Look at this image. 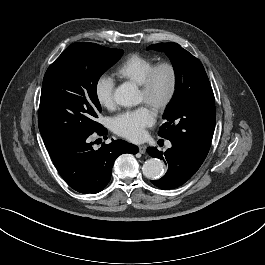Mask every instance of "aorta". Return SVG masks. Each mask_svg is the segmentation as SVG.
<instances>
[{"instance_id": "obj_1", "label": "aorta", "mask_w": 265, "mask_h": 265, "mask_svg": "<svg viewBox=\"0 0 265 265\" xmlns=\"http://www.w3.org/2000/svg\"><path fill=\"white\" fill-rule=\"evenodd\" d=\"M114 100L120 106L130 107L138 105L141 98L134 84L123 83L115 89ZM142 172L148 179H159L164 173V163L158 158H150L144 162Z\"/></svg>"}]
</instances>
